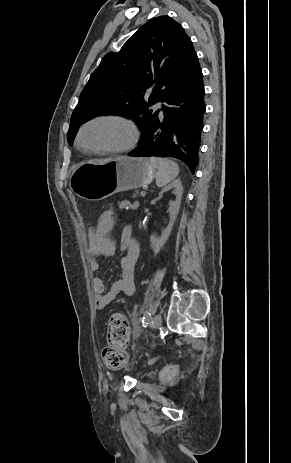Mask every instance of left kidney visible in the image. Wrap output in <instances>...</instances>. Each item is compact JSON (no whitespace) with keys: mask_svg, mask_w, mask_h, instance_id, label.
Listing matches in <instances>:
<instances>
[{"mask_svg":"<svg viewBox=\"0 0 291 463\" xmlns=\"http://www.w3.org/2000/svg\"><path fill=\"white\" fill-rule=\"evenodd\" d=\"M169 190H173V193L176 195V199L174 202L170 203L168 212H169V224L168 226L162 231L160 237H156L155 235H151L150 237V242H151V247L155 253H158L161 248L164 246L166 241L168 240L173 224L175 222L176 216L179 212L180 208V203H181V198L183 194V186L181 184L180 180H175L171 184L167 185L164 187L160 194H163L164 192H167Z\"/></svg>","mask_w":291,"mask_h":463,"instance_id":"left-kidney-1","label":"left kidney"}]
</instances>
